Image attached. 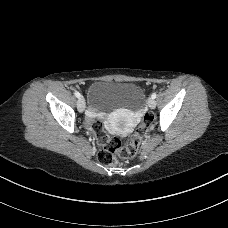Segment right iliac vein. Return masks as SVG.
<instances>
[{
    "instance_id": "right-iliac-vein-1",
    "label": "right iliac vein",
    "mask_w": 228,
    "mask_h": 228,
    "mask_svg": "<svg viewBox=\"0 0 228 228\" xmlns=\"http://www.w3.org/2000/svg\"><path fill=\"white\" fill-rule=\"evenodd\" d=\"M77 108L80 113H82L85 109V100L83 97H80L77 103Z\"/></svg>"
}]
</instances>
